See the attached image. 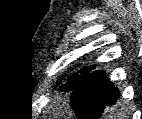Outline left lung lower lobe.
<instances>
[{"instance_id": "obj_1", "label": "left lung lower lobe", "mask_w": 142, "mask_h": 119, "mask_svg": "<svg viewBox=\"0 0 142 119\" xmlns=\"http://www.w3.org/2000/svg\"><path fill=\"white\" fill-rule=\"evenodd\" d=\"M119 96L118 89L104 72H88L72 91L70 105L78 119H99L105 113L106 106L115 105Z\"/></svg>"}]
</instances>
